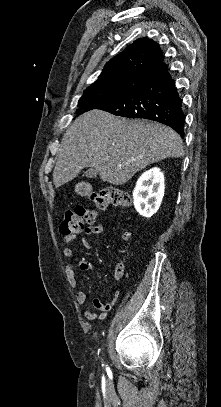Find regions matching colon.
Wrapping results in <instances>:
<instances>
[{"mask_svg":"<svg viewBox=\"0 0 221 407\" xmlns=\"http://www.w3.org/2000/svg\"><path fill=\"white\" fill-rule=\"evenodd\" d=\"M94 208L78 205L74 211H67L60 224V233L67 237H74L84 231L95 232L97 229V211L105 210L109 204L116 207H128L132 197L121 188L110 186L92 195ZM128 235L126 234L125 237ZM118 273L122 275L119 268Z\"/></svg>","mask_w":221,"mask_h":407,"instance_id":"1","label":"colon"}]
</instances>
